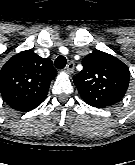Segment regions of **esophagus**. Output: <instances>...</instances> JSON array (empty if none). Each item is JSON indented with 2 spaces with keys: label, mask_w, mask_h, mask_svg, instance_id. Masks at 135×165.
<instances>
[{
  "label": "esophagus",
  "mask_w": 135,
  "mask_h": 165,
  "mask_svg": "<svg viewBox=\"0 0 135 165\" xmlns=\"http://www.w3.org/2000/svg\"><path fill=\"white\" fill-rule=\"evenodd\" d=\"M74 62H69L68 64H67V66L64 68V71L66 72V73H68V74H72L73 73V71H74Z\"/></svg>",
  "instance_id": "34e87169"
}]
</instances>
